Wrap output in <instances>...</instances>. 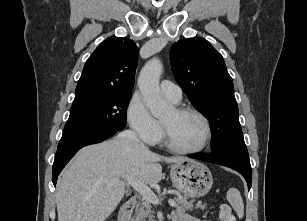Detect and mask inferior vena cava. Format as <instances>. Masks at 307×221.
<instances>
[{
  "label": "inferior vena cava",
  "instance_id": "1",
  "mask_svg": "<svg viewBox=\"0 0 307 221\" xmlns=\"http://www.w3.org/2000/svg\"><path fill=\"white\" fill-rule=\"evenodd\" d=\"M118 137L124 140H129V141L138 143L139 145L144 147V144H142L140 140L138 139L137 134L132 130L123 131L118 135Z\"/></svg>",
  "mask_w": 307,
  "mask_h": 221
}]
</instances>
